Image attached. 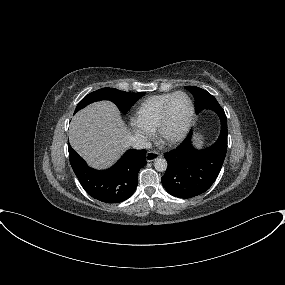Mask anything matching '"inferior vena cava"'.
<instances>
[{
  "instance_id": "obj_1",
  "label": "inferior vena cava",
  "mask_w": 285,
  "mask_h": 285,
  "mask_svg": "<svg viewBox=\"0 0 285 285\" xmlns=\"http://www.w3.org/2000/svg\"><path fill=\"white\" fill-rule=\"evenodd\" d=\"M129 145L135 149H148L151 147V143L147 137L142 134H135L130 137Z\"/></svg>"
}]
</instances>
